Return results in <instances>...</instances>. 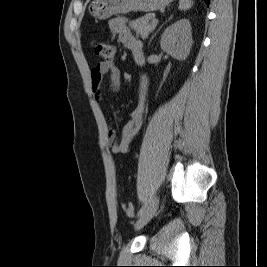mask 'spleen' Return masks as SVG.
<instances>
[{
    "label": "spleen",
    "mask_w": 267,
    "mask_h": 267,
    "mask_svg": "<svg viewBox=\"0 0 267 267\" xmlns=\"http://www.w3.org/2000/svg\"><path fill=\"white\" fill-rule=\"evenodd\" d=\"M193 2L191 0H179V9L180 10H188L192 7Z\"/></svg>",
    "instance_id": "spleen-1"
}]
</instances>
